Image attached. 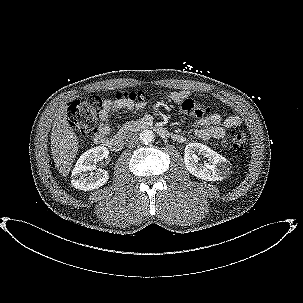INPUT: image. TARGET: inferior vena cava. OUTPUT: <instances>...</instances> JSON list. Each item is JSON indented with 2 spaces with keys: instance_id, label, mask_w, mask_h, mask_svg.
I'll use <instances>...</instances> for the list:
<instances>
[{
  "instance_id": "inferior-vena-cava-1",
  "label": "inferior vena cava",
  "mask_w": 303,
  "mask_h": 303,
  "mask_svg": "<svg viewBox=\"0 0 303 303\" xmlns=\"http://www.w3.org/2000/svg\"><path fill=\"white\" fill-rule=\"evenodd\" d=\"M138 136L136 133L129 132L125 137V143L128 147H134L138 144Z\"/></svg>"
}]
</instances>
